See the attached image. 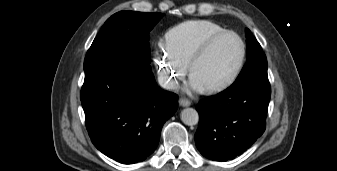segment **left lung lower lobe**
Returning a JSON list of instances; mask_svg holds the SVG:
<instances>
[{
	"label": "left lung lower lobe",
	"instance_id": "0a47b994",
	"mask_svg": "<svg viewBox=\"0 0 337 171\" xmlns=\"http://www.w3.org/2000/svg\"><path fill=\"white\" fill-rule=\"evenodd\" d=\"M270 94V84L251 82L201 100L195 134L201 154L227 161L246 151L265 131Z\"/></svg>",
	"mask_w": 337,
	"mask_h": 171
}]
</instances>
